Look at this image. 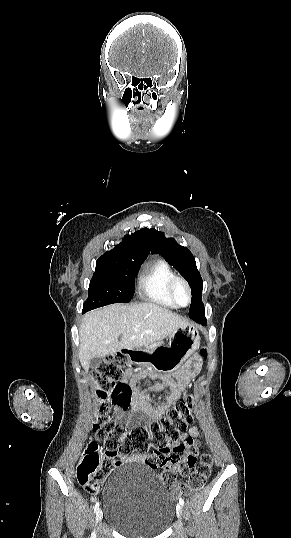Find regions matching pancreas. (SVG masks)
I'll return each mask as SVG.
<instances>
[{
	"instance_id": "cf45deb5",
	"label": "pancreas",
	"mask_w": 291,
	"mask_h": 538,
	"mask_svg": "<svg viewBox=\"0 0 291 538\" xmlns=\"http://www.w3.org/2000/svg\"><path fill=\"white\" fill-rule=\"evenodd\" d=\"M158 345H159V344H157V343L152 344V345L148 346V349H153V348L157 347Z\"/></svg>"
}]
</instances>
